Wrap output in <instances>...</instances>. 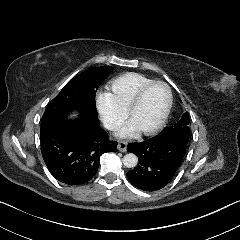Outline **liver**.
I'll list each match as a JSON object with an SVG mask.
<instances>
[{
  "instance_id": "obj_1",
  "label": "liver",
  "mask_w": 240,
  "mask_h": 240,
  "mask_svg": "<svg viewBox=\"0 0 240 240\" xmlns=\"http://www.w3.org/2000/svg\"><path fill=\"white\" fill-rule=\"evenodd\" d=\"M83 113H84L83 108L72 107L64 113L62 121L65 124H69L70 122L78 120L80 117H82Z\"/></svg>"
}]
</instances>
